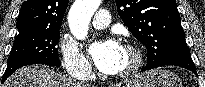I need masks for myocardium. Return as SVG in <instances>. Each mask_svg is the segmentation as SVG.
I'll return each instance as SVG.
<instances>
[{
	"mask_svg": "<svg viewBox=\"0 0 205 87\" xmlns=\"http://www.w3.org/2000/svg\"><path fill=\"white\" fill-rule=\"evenodd\" d=\"M124 49L132 55V62L127 69L120 71L117 77L130 78L140 70L143 64V55L140 48L134 44H126Z\"/></svg>",
	"mask_w": 205,
	"mask_h": 87,
	"instance_id": "obj_1",
	"label": "myocardium"
}]
</instances>
